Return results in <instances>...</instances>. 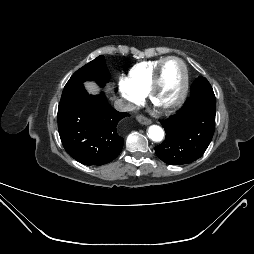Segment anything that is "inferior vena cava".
<instances>
[{
  "label": "inferior vena cava",
  "instance_id": "obj_1",
  "mask_svg": "<svg viewBox=\"0 0 254 254\" xmlns=\"http://www.w3.org/2000/svg\"><path fill=\"white\" fill-rule=\"evenodd\" d=\"M114 106L118 111H122V112H128V111L134 110L133 105H131L130 103L122 99L116 100L114 103Z\"/></svg>",
  "mask_w": 254,
  "mask_h": 254
}]
</instances>
